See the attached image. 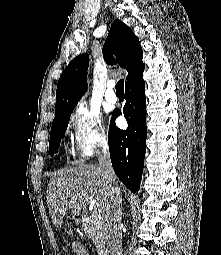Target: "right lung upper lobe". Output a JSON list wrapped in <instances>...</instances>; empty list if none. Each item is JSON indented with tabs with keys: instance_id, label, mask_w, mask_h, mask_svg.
Masks as SVG:
<instances>
[{
	"instance_id": "obj_1",
	"label": "right lung upper lobe",
	"mask_w": 221,
	"mask_h": 255,
	"mask_svg": "<svg viewBox=\"0 0 221 255\" xmlns=\"http://www.w3.org/2000/svg\"><path fill=\"white\" fill-rule=\"evenodd\" d=\"M113 52L117 55V60L113 58ZM103 54L107 63L119 62V65L128 71L126 83L144 66L138 37L119 19H116L111 26ZM88 65L89 55L84 53L75 57L63 71L57 84L55 118L59 114L73 111L87 90Z\"/></svg>"
}]
</instances>
